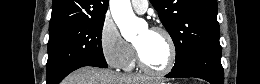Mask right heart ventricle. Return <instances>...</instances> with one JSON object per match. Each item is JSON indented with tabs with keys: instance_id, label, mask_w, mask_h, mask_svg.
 <instances>
[{
	"instance_id": "1",
	"label": "right heart ventricle",
	"mask_w": 260,
	"mask_h": 84,
	"mask_svg": "<svg viewBox=\"0 0 260 84\" xmlns=\"http://www.w3.org/2000/svg\"><path fill=\"white\" fill-rule=\"evenodd\" d=\"M136 64V59H135V50L133 48V53L129 59V61L127 62V64L123 67V69L129 71L132 70L135 67Z\"/></svg>"
}]
</instances>
